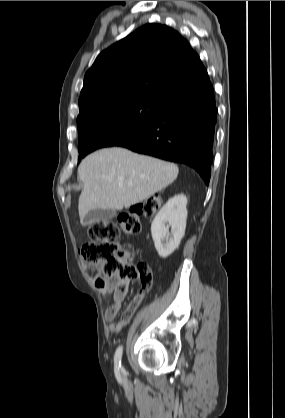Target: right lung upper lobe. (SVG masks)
<instances>
[{"label":"right lung upper lobe","mask_w":285,"mask_h":418,"mask_svg":"<svg viewBox=\"0 0 285 418\" xmlns=\"http://www.w3.org/2000/svg\"><path fill=\"white\" fill-rule=\"evenodd\" d=\"M207 75L198 54L177 31L146 24L101 52L86 72L77 122L111 105H165Z\"/></svg>","instance_id":"right-lung-upper-lobe-1"}]
</instances>
